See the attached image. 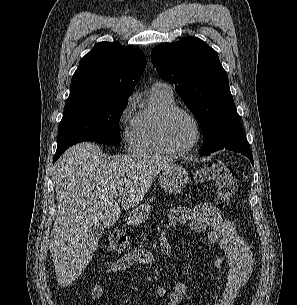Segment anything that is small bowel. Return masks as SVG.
Listing matches in <instances>:
<instances>
[{
	"mask_svg": "<svg viewBox=\"0 0 297 305\" xmlns=\"http://www.w3.org/2000/svg\"><path fill=\"white\" fill-rule=\"evenodd\" d=\"M168 226L183 225L201 233L210 229L205 243L218 244L222 253L217 257L214 266L220 268L227 265V272L221 286L220 298L213 305H234L242 286L248 281L253 268L254 259L247 243L236 232L234 223L223 217L222 212L210 203H198L192 207L171 209L168 213ZM159 247L163 254L173 251L172 244L165 235L159 238ZM153 262L151 252L143 249L134 250L113 262L107 269V276H113L133 265H148ZM154 293L159 297H167L166 305H180L186 294V286L178 282L168 293L164 287H156ZM104 295V287L95 284L91 290L93 301L100 300Z\"/></svg>",
	"mask_w": 297,
	"mask_h": 305,
	"instance_id": "c3829d8e",
	"label": "small bowel"
}]
</instances>
